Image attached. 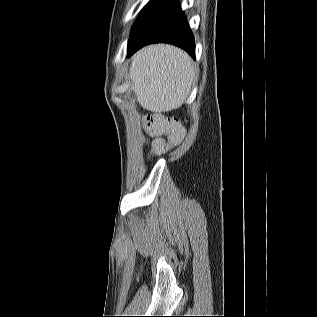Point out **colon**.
<instances>
[{
	"instance_id": "1",
	"label": "colon",
	"mask_w": 317,
	"mask_h": 317,
	"mask_svg": "<svg viewBox=\"0 0 317 317\" xmlns=\"http://www.w3.org/2000/svg\"><path fill=\"white\" fill-rule=\"evenodd\" d=\"M143 125L146 131L156 140L153 143V153L163 154L181 143L184 130L179 121L162 114H149L144 117ZM166 136L167 140L163 138Z\"/></svg>"
}]
</instances>
